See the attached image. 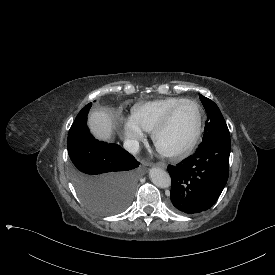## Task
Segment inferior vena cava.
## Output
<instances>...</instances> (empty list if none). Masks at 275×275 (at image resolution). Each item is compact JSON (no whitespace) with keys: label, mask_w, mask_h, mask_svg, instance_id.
Listing matches in <instances>:
<instances>
[{"label":"inferior vena cava","mask_w":275,"mask_h":275,"mask_svg":"<svg viewBox=\"0 0 275 275\" xmlns=\"http://www.w3.org/2000/svg\"><path fill=\"white\" fill-rule=\"evenodd\" d=\"M123 146L125 150L133 154L137 153L139 150V142L136 140H125Z\"/></svg>","instance_id":"inferior-vena-cava-1"}]
</instances>
